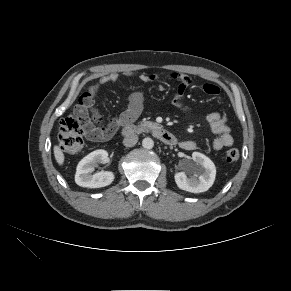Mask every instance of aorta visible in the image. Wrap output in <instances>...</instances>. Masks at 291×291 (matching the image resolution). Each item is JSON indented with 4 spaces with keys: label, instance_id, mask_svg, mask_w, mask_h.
Listing matches in <instances>:
<instances>
[{
    "label": "aorta",
    "instance_id": "1",
    "mask_svg": "<svg viewBox=\"0 0 291 291\" xmlns=\"http://www.w3.org/2000/svg\"><path fill=\"white\" fill-rule=\"evenodd\" d=\"M142 146L145 149H152L154 147V141L149 137L144 138L142 141Z\"/></svg>",
    "mask_w": 291,
    "mask_h": 291
}]
</instances>
